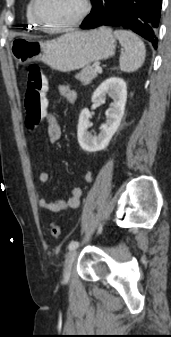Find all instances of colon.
<instances>
[{
	"instance_id": "obj_1",
	"label": "colon",
	"mask_w": 171,
	"mask_h": 337,
	"mask_svg": "<svg viewBox=\"0 0 171 337\" xmlns=\"http://www.w3.org/2000/svg\"><path fill=\"white\" fill-rule=\"evenodd\" d=\"M46 78L37 64H31L27 71V89L25 94L26 125L28 128H34L41 120L42 116L48 115L45 107L49 106L48 95L44 94L46 90ZM52 237L61 236V227L52 223L49 226Z\"/></svg>"
}]
</instances>
